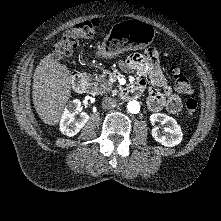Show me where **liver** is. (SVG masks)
Instances as JSON below:
<instances>
[{
	"mask_svg": "<svg viewBox=\"0 0 221 221\" xmlns=\"http://www.w3.org/2000/svg\"><path fill=\"white\" fill-rule=\"evenodd\" d=\"M71 74L53 54L43 58L33 75L32 98L39 118L50 126L60 122L64 108L71 97Z\"/></svg>",
	"mask_w": 221,
	"mask_h": 221,
	"instance_id": "6515ba94",
	"label": "liver"
}]
</instances>
